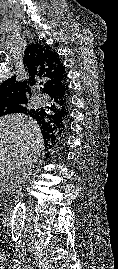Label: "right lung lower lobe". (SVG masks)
Returning <instances> with one entry per match:
<instances>
[{
    "mask_svg": "<svg viewBox=\"0 0 118 269\" xmlns=\"http://www.w3.org/2000/svg\"><path fill=\"white\" fill-rule=\"evenodd\" d=\"M60 130H61V131H58V132H56V133H57V134H61L63 130H62V129H60ZM54 134H55V133H53L52 138H50V140H52V141L55 140V136H54ZM50 140H47V141H50ZM45 142H46V141H45Z\"/></svg>",
    "mask_w": 118,
    "mask_h": 269,
    "instance_id": "98d812e1",
    "label": "right lung lower lobe"
}]
</instances>
